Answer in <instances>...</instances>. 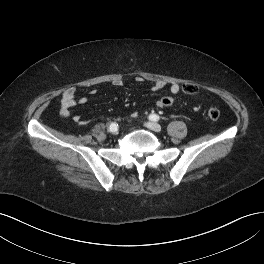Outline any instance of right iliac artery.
<instances>
[{"instance_id": "82829eb1", "label": "right iliac artery", "mask_w": 264, "mask_h": 264, "mask_svg": "<svg viewBox=\"0 0 264 264\" xmlns=\"http://www.w3.org/2000/svg\"><path fill=\"white\" fill-rule=\"evenodd\" d=\"M117 127H118V124L115 123V122H113V123H111V124L109 125V130L112 131V130H114V129H117Z\"/></svg>"}]
</instances>
